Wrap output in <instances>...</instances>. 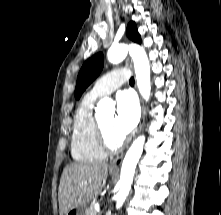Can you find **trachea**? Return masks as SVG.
<instances>
[{"mask_svg":"<svg viewBox=\"0 0 221 215\" xmlns=\"http://www.w3.org/2000/svg\"><path fill=\"white\" fill-rule=\"evenodd\" d=\"M129 83H130V84H134V78H133V77H131Z\"/></svg>","mask_w":221,"mask_h":215,"instance_id":"trachea-1","label":"trachea"}]
</instances>
